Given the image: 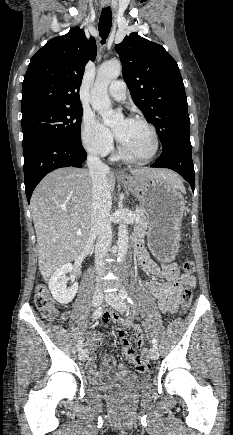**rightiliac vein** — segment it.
I'll use <instances>...</instances> for the list:
<instances>
[{
	"instance_id": "right-iliac-vein-1",
	"label": "right iliac vein",
	"mask_w": 233,
	"mask_h": 435,
	"mask_svg": "<svg viewBox=\"0 0 233 435\" xmlns=\"http://www.w3.org/2000/svg\"><path fill=\"white\" fill-rule=\"evenodd\" d=\"M103 301V295L101 292H94L92 296V303L95 307L100 306ZM79 358L81 361H86L88 359V351L83 348L79 352Z\"/></svg>"
}]
</instances>
